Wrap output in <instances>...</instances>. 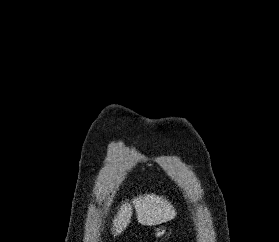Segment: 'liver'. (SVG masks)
Instances as JSON below:
<instances>
[{"mask_svg":"<svg viewBox=\"0 0 279 242\" xmlns=\"http://www.w3.org/2000/svg\"><path fill=\"white\" fill-rule=\"evenodd\" d=\"M136 210L137 220L142 225H158L172 220L176 212L171 203L162 196L155 194L139 195L132 200ZM132 216V206L125 202L121 205L113 220V234H121L129 225Z\"/></svg>","mask_w":279,"mask_h":242,"instance_id":"6515ba94","label":"liver"}]
</instances>
